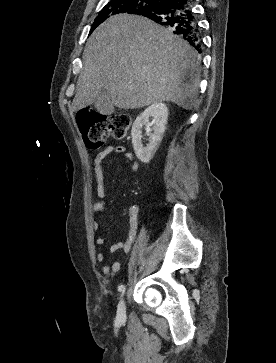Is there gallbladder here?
I'll use <instances>...</instances> for the list:
<instances>
[{"label": "gallbladder", "instance_id": "bac80fb5", "mask_svg": "<svg viewBox=\"0 0 276 363\" xmlns=\"http://www.w3.org/2000/svg\"><path fill=\"white\" fill-rule=\"evenodd\" d=\"M97 111L102 115H110L115 111V106L107 91L103 90L95 101Z\"/></svg>", "mask_w": 276, "mask_h": 363}]
</instances>
